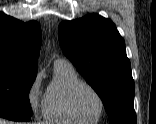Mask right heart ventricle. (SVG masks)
<instances>
[{"label":"right heart ventricle","instance_id":"right-heart-ventricle-1","mask_svg":"<svg viewBox=\"0 0 156 124\" xmlns=\"http://www.w3.org/2000/svg\"><path fill=\"white\" fill-rule=\"evenodd\" d=\"M81 79L68 62L54 64V77L44 95V118L54 124H89L83 122L71 111L69 93Z\"/></svg>","mask_w":156,"mask_h":124}]
</instances>
